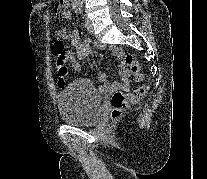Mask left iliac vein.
<instances>
[{"instance_id": "1", "label": "left iliac vein", "mask_w": 207, "mask_h": 179, "mask_svg": "<svg viewBox=\"0 0 207 179\" xmlns=\"http://www.w3.org/2000/svg\"><path fill=\"white\" fill-rule=\"evenodd\" d=\"M85 26H86V29L89 31V32H93V26H92V23L91 21L85 17Z\"/></svg>"}]
</instances>
